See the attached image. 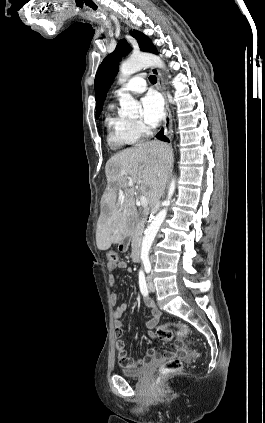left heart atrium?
Wrapping results in <instances>:
<instances>
[{
	"label": "left heart atrium",
	"instance_id": "1",
	"mask_svg": "<svg viewBox=\"0 0 265 423\" xmlns=\"http://www.w3.org/2000/svg\"><path fill=\"white\" fill-rule=\"evenodd\" d=\"M142 118L149 125H157L164 116V106L161 97L155 92H149L141 99Z\"/></svg>",
	"mask_w": 265,
	"mask_h": 423
}]
</instances>
